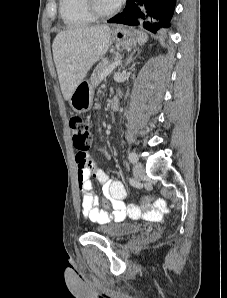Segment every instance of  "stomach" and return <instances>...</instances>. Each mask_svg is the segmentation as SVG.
Instances as JSON below:
<instances>
[{"label":"stomach","mask_w":227,"mask_h":298,"mask_svg":"<svg viewBox=\"0 0 227 298\" xmlns=\"http://www.w3.org/2000/svg\"><path fill=\"white\" fill-rule=\"evenodd\" d=\"M111 39L118 46L130 48L139 42L138 32L121 26H117L111 34ZM94 88L88 81H82L72 93L69 103L77 113L88 112L93 103Z\"/></svg>","instance_id":"1"}]
</instances>
